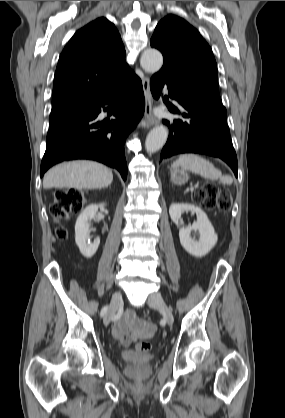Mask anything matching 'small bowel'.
Here are the masks:
<instances>
[{
	"label": "small bowel",
	"instance_id": "small-bowel-1",
	"mask_svg": "<svg viewBox=\"0 0 285 418\" xmlns=\"http://www.w3.org/2000/svg\"><path fill=\"white\" fill-rule=\"evenodd\" d=\"M155 333V324L149 320H141L137 315L128 310L113 325L112 335L123 346H128L131 342L151 338Z\"/></svg>",
	"mask_w": 285,
	"mask_h": 418
}]
</instances>
